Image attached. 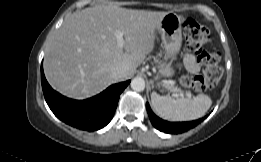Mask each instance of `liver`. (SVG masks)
<instances>
[{
  "label": "liver",
  "mask_w": 261,
  "mask_h": 162,
  "mask_svg": "<svg viewBox=\"0 0 261 162\" xmlns=\"http://www.w3.org/2000/svg\"><path fill=\"white\" fill-rule=\"evenodd\" d=\"M168 12L95 6L66 18L52 37L44 59L50 85L60 93L84 99L118 80L132 77L152 52L155 31ZM115 30L124 32V50L117 46ZM125 66L117 78L113 69Z\"/></svg>",
  "instance_id": "obj_1"
}]
</instances>
